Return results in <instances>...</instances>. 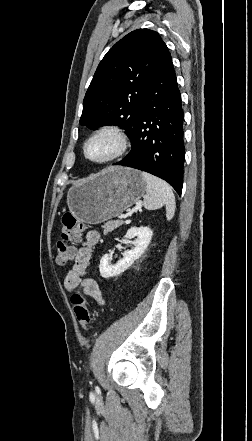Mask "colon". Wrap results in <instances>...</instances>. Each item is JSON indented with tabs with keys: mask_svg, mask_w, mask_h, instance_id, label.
Segmentation results:
<instances>
[{
	"mask_svg": "<svg viewBox=\"0 0 252 441\" xmlns=\"http://www.w3.org/2000/svg\"><path fill=\"white\" fill-rule=\"evenodd\" d=\"M61 240L57 243L56 262L65 265L70 262L75 253V244L79 242L85 226L72 214L66 213L62 217ZM74 313L79 323L87 328L91 321L90 312L87 308L86 299L77 290L71 297Z\"/></svg>",
	"mask_w": 252,
	"mask_h": 441,
	"instance_id": "1",
	"label": "colon"
}]
</instances>
